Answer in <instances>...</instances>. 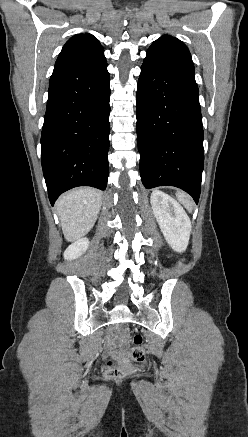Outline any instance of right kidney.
Returning a JSON list of instances; mask_svg holds the SVG:
<instances>
[{"mask_svg":"<svg viewBox=\"0 0 248 437\" xmlns=\"http://www.w3.org/2000/svg\"><path fill=\"white\" fill-rule=\"evenodd\" d=\"M89 246V240L87 238H81L72 243L64 252V259L74 260L80 257Z\"/></svg>","mask_w":248,"mask_h":437,"instance_id":"obj_1","label":"right kidney"}]
</instances>
